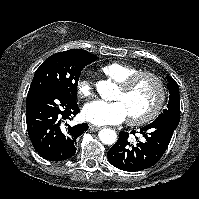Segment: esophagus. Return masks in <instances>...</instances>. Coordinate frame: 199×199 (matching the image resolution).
<instances>
[{"label": "esophagus", "instance_id": "obj_1", "mask_svg": "<svg viewBox=\"0 0 199 199\" xmlns=\"http://www.w3.org/2000/svg\"><path fill=\"white\" fill-rule=\"evenodd\" d=\"M99 129H100V128L97 127V126L89 125V130H90L91 132H96V131H98Z\"/></svg>", "mask_w": 199, "mask_h": 199}]
</instances>
